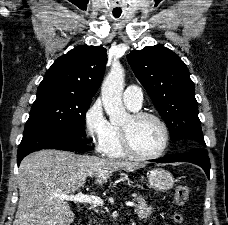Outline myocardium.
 Instances as JSON below:
<instances>
[{
  "label": "myocardium",
  "instance_id": "1",
  "mask_svg": "<svg viewBox=\"0 0 228 225\" xmlns=\"http://www.w3.org/2000/svg\"><path fill=\"white\" fill-rule=\"evenodd\" d=\"M132 118L136 122H139L146 118H151V119L156 120L157 122L160 123V125L162 126V128L164 130L165 139H164V144L159 152H157L153 155H145V154L140 153L136 149V147L133 144L130 132L126 128L123 127L122 128V142H123V147H124L125 151L127 152V154L133 158L140 159V160H146V161L156 160V159L162 157L165 154V152L167 151L169 143H170V129H169L167 123L165 122V120L162 117H160L159 115L154 114V113H149V112H136L132 115Z\"/></svg>",
  "mask_w": 228,
  "mask_h": 225
}]
</instances>
